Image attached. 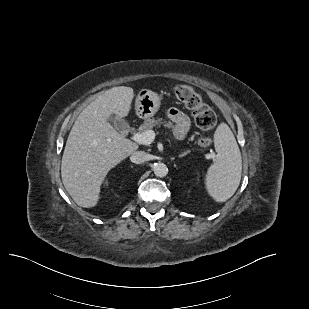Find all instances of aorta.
<instances>
[{
    "label": "aorta",
    "mask_w": 309,
    "mask_h": 309,
    "mask_svg": "<svg viewBox=\"0 0 309 309\" xmlns=\"http://www.w3.org/2000/svg\"><path fill=\"white\" fill-rule=\"evenodd\" d=\"M153 171L157 177H164L168 173V168L164 163H156L153 167Z\"/></svg>",
    "instance_id": "aorta-1"
}]
</instances>
